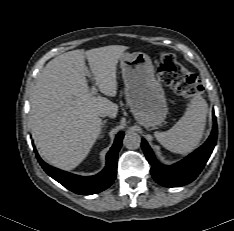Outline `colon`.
<instances>
[{
  "label": "colon",
  "instance_id": "obj_1",
  "mask_svg": "<svg viewBox=\"0 0 234 231\" xmlns=\"http://www.w3.org/2000/svg\"><path fill=\"white\" fill-rule=\"evenodd\" d=\"M156 72L164 84L182 97L190 98L200 92L196 74L187 70L170 53L160 54Z\"/></svg>",
  "mask_w": 234,
  "mask_h": 231
}]
</instances>
